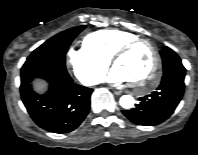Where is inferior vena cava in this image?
Wrapping results in <instances>:
<instances>
[{
	"mask_svg": "<svg viewBox=\"0 0 198 155\" xmlns=\"http://www.w3.org/2000/svg\"><path fill=\"white\" fill-rule=\"evenodd\" d=\"M97 83V81H94L93 84Z\"/></svg>",
	"mask_w": 198,
	"mask_h": 155,
	"instance_id": "602c4592",
	"label": "inferior vena cava"
}]
</instances>
